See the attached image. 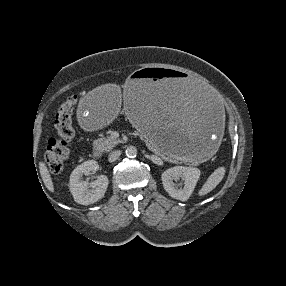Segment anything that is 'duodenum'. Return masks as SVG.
Returning <instances> with one entry per match:
<instances>
[{
	"mask_svg": "<svg viewBox=\"0 0 286 286\" xmlns=\"http://www.w3.org/2000/svg\"><path fill=\"white\" fill-rule=\"evenodd\" d=\"M92 156L94 159L98 160V159H101L102 153L100 152V150L94 149L92 152Z\"/></svg>",
	"mask_w": 286,
	"mask_h": 286,
	"instance_id": "obj_1",
	"label": "duodenum"
}]
</instances>
